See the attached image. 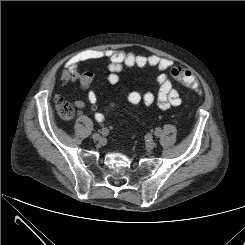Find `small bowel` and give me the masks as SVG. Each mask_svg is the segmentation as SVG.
Segmentation results:
<instances>
[{"instance_id":"c3829d8e","label":"small bowel","mask_w":245,"mask_h":245,"mask_svg":"<svg viewBox=\"0 0 245 245\" xmlns=\"http://www.w3.org/2000/svg\"><path fill=\"white\" fill-rule=\"evenodd\" d=\"M104 59L107 61L108 76L107 80L110 84L115 85L120 81V73L125 69L152 67L158 69L160 73L156 77L158 93L155 95L150 91L141 93L139 91H131L128 94L127 100L130 105H144L151 107L154 104L161 110H167L172 107H177L181 104V97L169 76L164 73L173 65V61L157 55H136L122 50H87L71 57L65 64V69L60 74V80L64 85L71 82H78L83 89H88L94 80V74L90 71L80 72V64ZM88 102L92 110L97 108V94L93 90H89L87 94ZM75 105L79 109H84L86 104L84 101L78 100ZM97 122L105 120L104 114L97 112L95 114Z\"/></svg>"}]
</instances>
